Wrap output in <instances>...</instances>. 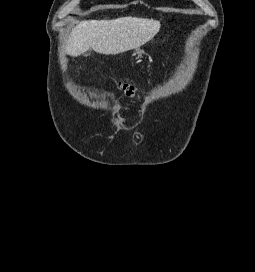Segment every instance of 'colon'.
Here are the masks:
<instances>
[{"label": "colon", "mask_w": 255, "mask_h": 272, "mask_svg": "<svg viewBox=\"0 0 255 272\" xmlns=\"http://www.w3.org/2000/svg\"><path fill=\"white\" fill-rule=\"evenodd\" d=\"M122 88L124 90V92L128 95V96H133L135 94V88L134 86L129 83V82H126L124 84H122Z\"/></svg>", "instance_id": "obj_1"}]
</instances>
